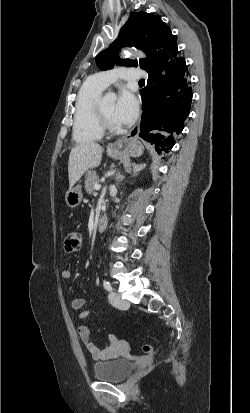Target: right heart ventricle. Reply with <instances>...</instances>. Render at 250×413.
<instances>
[{"mask_svg": "<svg viewBox=\"0 0 250 413\" xmlns=\"http://www.w3.org/2000/svg\"><path fill=\"white\" fill-rule=\"evenodd\" d=\"M103 90L91 79H88L80 88L73 121V139L76 143H91L103 137L104 130L96 109L97 99Z\"/></svg>", "mask_w": 250, "mask_h": 413, "instance_id": "right-heart-ventricle-1", "label": "right heart ventricle"}]
</instances>
